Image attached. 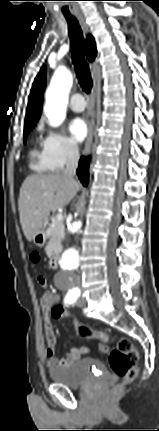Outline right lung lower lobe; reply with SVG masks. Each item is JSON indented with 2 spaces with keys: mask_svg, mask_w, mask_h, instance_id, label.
I'll list each match as a JSON object with an SVG mask.
<instances>
[{
  "mask_svg": "<svg viewBox=\"0 0 159 431\" xmlns=\"http://www.w3.org/2000/svg\"><path fill=\"white\" fill-rule=\"evenodd\" d=\"M89 157H81L77 175L84 186L88 184L89 170H88Z\"/></svg>",
  "mask_w": 159,
  "mask_h": 431,
  "instance_id": "obj_1",
  "label": "right lung lower lobe"
}]
</instances>
